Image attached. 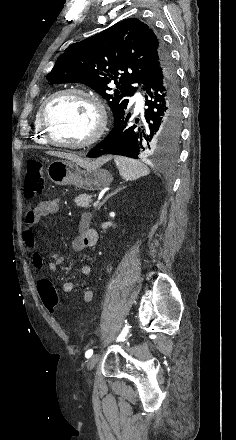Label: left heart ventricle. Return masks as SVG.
Returning <instances> with one entry per match:
<instances>
[{"label": "left heart ventricle", "instance_id": "b2bd125f", "mask_svg": "<svg viewBox=\"0 0 236 440\" xmlns=\"http://www.w3.org/2000/svg\"><path fill=\"white\" fill-rule=\"evenodd\" d=\"M52 137L64 143H78L94 130L96 114L91 103L78 95H64L52 101L47 115Z\"/></svg>", "mask_w": 236, "mask_h": 440}]
</instances>
